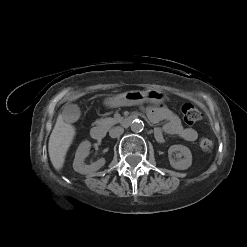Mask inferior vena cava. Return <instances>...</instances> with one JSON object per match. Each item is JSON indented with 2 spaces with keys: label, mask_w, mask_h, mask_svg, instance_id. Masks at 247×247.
Instances as JSON below:
<instances>
[{
  "label": "inferior vena cava",
  "mask_w": 247,
  "mask_h": 247,
  "mask_svg": "<svg viewBox=\"0 0 247 247\" xmlns=\"http://www.w3.org/2000/svg\"><path fill=\"white\" fill-rule=\"evenodd\" d=\"M124 132V129L120 126L114 127L109 131V135L112 138L119 137Z\"/></svg>",
  "instance_id": "obj_1"
}]
</instances>
